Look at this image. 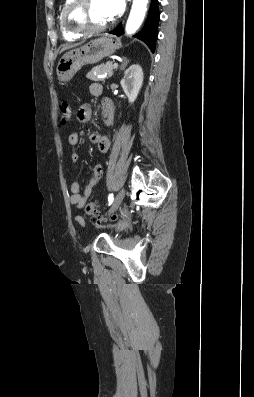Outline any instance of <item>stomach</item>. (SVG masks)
Segmentation results:
<instances>
[{
	"instance_id": "obj_1",
	"label": "stomach",
	"mask_w": 254,
	"mask_h": 397,
	"mask_svg": "<svg viewBox=\"0 0 254 397\" xmlns=\"http://www.w3.org/2000/svg\"><path fill=\"white\" fill-rule=\"evenodd\" d=\"M118 48L119 44L112 37L104 35L66 52L56 67L58 79L63 82L70 81L84 65L98 63Z\"/></svg>"
}]
</instances>
